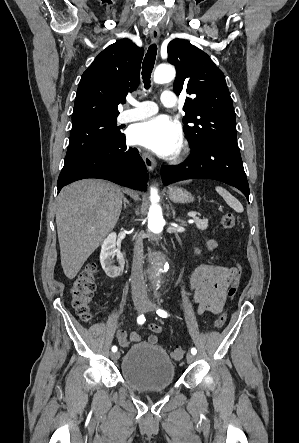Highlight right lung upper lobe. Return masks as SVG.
Segmentation results:
<instances>
[{
  "label": "right lung upper lobe",
  "instance_id": "obj_1",
  "mask_svg": "<svg viewBox=\"0 0 299 443\" xmlns=\"http://www.w3.org/2000/svg\"><path fill=\"white\" fill-rule=\"evenodd\" d=\"M143 48L124 38L97 55L83 73L72 124L95 117H117L118 104L139 85Z\"/></svg>",
  "mask_w": 299,
  "mask_h": 443
}]
</instances>
